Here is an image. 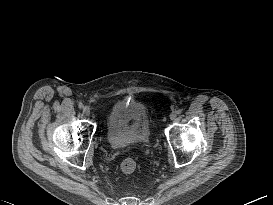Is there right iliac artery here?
I'll list each match as a JSON object with an SVG mask.
<instances>
[{
    "label": "right iliac artery",
    "instance_id": "82829eb1",
    "mask_svg": "<svg viewBox=\"0 0 273 205\" xmlns=\"http://www.w3.org/2000/svg\"><path fill=\"white\" fill-rule=\"evenodd\" d=\"M78 107H79L80 109H82V108L84 107L83 103H82V102H79V103H78Z\"/></svg>",
    "mask_w": 273,
    "mask_h": 205
}]
</instances>
